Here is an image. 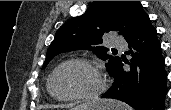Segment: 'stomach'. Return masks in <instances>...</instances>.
<instances>
[{
    "mask_svg": "<svg viewBox=\"0 0 171 110\" xmlns=\"http://www.w3.org/2000/svg\"><path fill=\"white\" fill-rule=\"evenodd\" d=\"M116 105L111 110H118ZM69 110H107V109L102 108L100 105L97 104V105H93V106H88L86 108L81 107V106H76V107H73V108H71Z\"/></svg>",
    "mask_w": 171,
    "mask_h": 110,
    "instance_id": "1",
    "label": "stomach"
}]
</instances>
